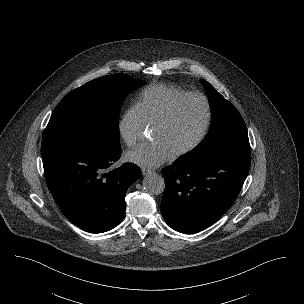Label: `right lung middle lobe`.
Wrapping results in <instances>:
<instances>
[{"label": "right lung middle lobe", "mask_w": 304, "mask_h": 304, "mask_svg": "<svg viewBox=\"0 0 304 304\" xmlns=\"http://www.w3.org/2000/svg\"><path fill=\"white\" fill-rule=\"evenodd\" d=\"M146 82L126 74L92 80L67 94L55 108L43 133L41 150L83 144L121 150L118 115L123 99Z\"/></svg>", "instance_id": "right-lung-middle-lobe-1"}]
</instances>
